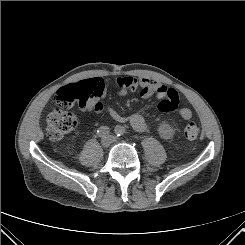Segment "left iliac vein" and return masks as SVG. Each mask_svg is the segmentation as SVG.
I'll return each mask as SVG.
<instances>
[{
  "label": "left iliac vein",
  "mask_w": 245,
  "mask_h": 245,
  "mask_svg": "<svg viewBox=\"0 0 245 245\" xmlns=\"http://www.w3.org/2000/svg\"><path fill=\"white\" fill-rule=\"evenodd\" d=\"M109 138H110L111 142H117L118 141V139L114 136H110Z\"/></svg>",
  "instance_id": "obj_1"
}]
</instances>
